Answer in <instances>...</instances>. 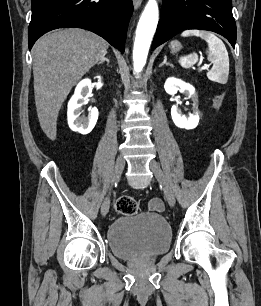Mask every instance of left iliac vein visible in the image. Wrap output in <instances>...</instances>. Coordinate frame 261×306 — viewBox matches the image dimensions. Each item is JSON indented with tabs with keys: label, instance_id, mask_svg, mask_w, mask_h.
<instances>
[{
	"label": "left iliac vein",
	"instance_id": "left-iliac-vein-1",
	"mask_svg": "<svg viewBox=\"0 0 261 306\" xmlns=\"http://www.w3.org/2000/svg\"><path fill=\"white\" fill-rule=\"evenodd\" d=\"M149 167H150L151 171L153 172L154 176L156 177L157 181L159 182V184L163 188L164 195H165V198H166L167 202L169 203L170 206H174L175 205L174 192H173L171 186L169 185V183L166 179V176L163 173L160 165L155 160H152L149 163Z\"/></svg>",
	"mask_w": 261,
	"mask_h": 306
}]
</instances>
